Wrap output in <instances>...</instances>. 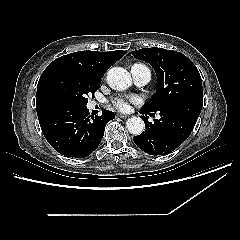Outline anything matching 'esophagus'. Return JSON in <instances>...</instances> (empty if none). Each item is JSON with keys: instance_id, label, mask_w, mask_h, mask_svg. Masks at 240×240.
Masks as SVG:
<instances>
[{"instance_id": "1", "label": "esophagus", "mask_w": 240, "mask_h": 240, "mask_svg": "<svg viewBox=\"0 0 240 240\" xmlns=\"http://www.w3.org/2000/svg\"><path fill=\"white\" fill-rule=\"evenodd\" d=\"M117 116L123 119L129 117L128 115H125V114H118Z\"/></svg>"}]
</instances>
